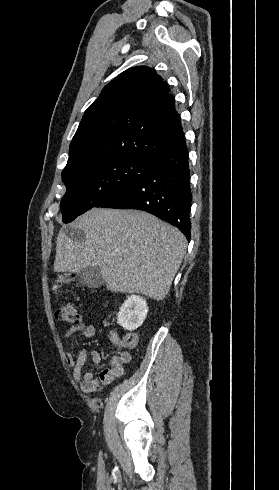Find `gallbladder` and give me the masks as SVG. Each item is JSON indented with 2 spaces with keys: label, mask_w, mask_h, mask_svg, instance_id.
<instances>
[{
  "label": "gallbladder",
  "mask_w": 279,
  "mask_h": 490,
  "mask_svg": "<svg viewBox=\"0 0 279 490\" xmlns=\"http://www.w3.org/2000/svg\"><path fill=\"white\" fill-rule=\"evenodd\" d=\"M78 276L80 284L87 286V288H99L104 282L99 266H87L78 272Z\"/></svg>",
  "instance_id": "gallbladder-1"
}]
</instances>
